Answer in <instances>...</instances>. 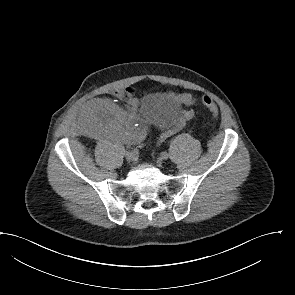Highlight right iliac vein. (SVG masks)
Wrapping results in <instances>:
<instances>
[{
	"label": "right iliac vein",
	"mask_w": 295,
	"mask_h": 295,
	"mask_svg": "<svg viewBox=\"0 0 295 295\" xmlns=\"http://www.w3.org/2000/svg\"><path fill=\"white\" fill-rule=\"evenodd\" d=\"M126 160L128 162H134L135 161V154H133L132 152H127L125 154Z\"/></svg>",
	"instance_id": "obj_1"
}]
</instances>
